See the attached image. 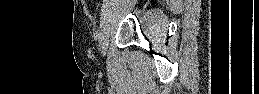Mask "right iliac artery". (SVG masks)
<instances>
[{
  "mask_svg": "<svg viewBox=\"0 0 259 94\" xmlns=\"http://www.w3.org/2000/svg\"><path fill=\"white\" fill-rule=\"evenodd\" d=\"M107 10H108V6H107V2H106V3L103 5V7H102L100 28L103 26V24H104V22H105V20H106Z\"/></svg>",
  "mask_w": 259,
  "mask_h": 94,
  "instance_id": "obj_1",
  "label": "right iliac artery"
}]
</instances>
